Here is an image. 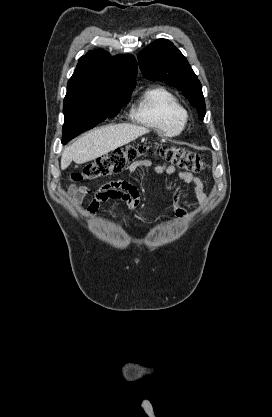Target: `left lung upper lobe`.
Returning <instances> with one entry per match:
<instances>
[{"mask_svg":"<svg viewBox=\"0 0 272 417\" xmlns=\"http://www.w3.org/2000/svg\"><path fill=\"white\" fill-rule=\"evenodd\" d=\"M139 67L149 80L165 81L180 91L201 119L206 113L202 86L184 55L165 39H158L138 55Z\"/></svg>","mask_w":272,"mask_h":417,"instance_id":"5c2ea615","label":"left lung upper lobe"}]
</instances>
